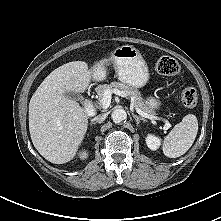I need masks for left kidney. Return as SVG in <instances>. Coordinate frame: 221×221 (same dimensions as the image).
Returning <instances> with one entry per match:
<instances>
[{
	"label": "left kidney",
	"instance_id": "obj_1",
	"mask_svg": "<svg viewBox=\"0 0 221 221\" xmlns=\"http://www.w3.org/2000/svg\"><path fill=\"white\" fill-rule=\"evenodd\" d=\"M145 141L151 150H157L161 144L160 139L152 134H148Z\"/></svg>",
	"mask_w": 221,
	"mask_h": 221
}]
</instances>
